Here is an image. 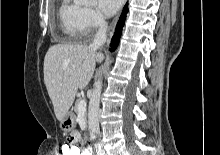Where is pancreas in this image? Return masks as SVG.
Instances as JSON below:
<instances>
[{
    "label": "pancreas",
    "instance_id": "pancreas-1",
    "mask_svg": "<svg viewBox=\"0 0 220 155\" xmlns=\"http://www.w3.org/2000/svg\"><path fill=\"white\" fill-rule=\"evenodd\" d=\"M81 101V98L77 99L76 102H75V105H74V112L75 113H78L79 110H78V104L80 103Z\"/></svg>",
    "mask_w": 220,
    "mask_h": 155
}]
</instances>
